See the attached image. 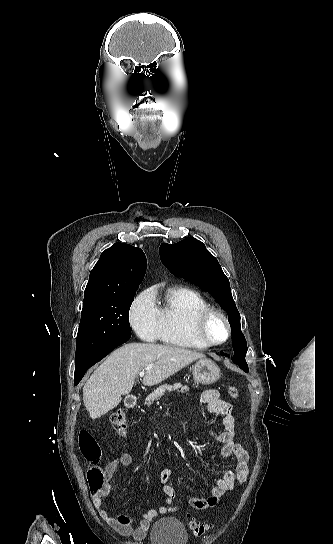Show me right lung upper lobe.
<instances>
[{
	"mask_svg": "<svg viewBox=\"0 0 333 544\" xmlns=\"http://www.w3.org/2000/svg\"><path fill=\"white\" fill-rule=\"evenodd\" d=\"M146 264V256L140 248L115 243L101 254L91 270L84 303L137 290L144 278Z\"/></svg>",
	"mask_w": 333,
	"mask_h": 544,
	"instance_id": "cb5924a9",
	"label": "right lung upper lobe"
}]
</instances>
